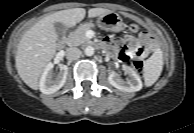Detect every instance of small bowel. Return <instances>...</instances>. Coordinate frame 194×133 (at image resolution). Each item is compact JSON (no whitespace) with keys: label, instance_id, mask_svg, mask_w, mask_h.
<instances>
[{"label":"small bowel","instance_id":"1","mask_svg":"<svg viewBox=\"0 0 194 133\" xmlns=\"http://www.w3.org/2000/svg\"><path fill=\"white\" fill-rule=\"evenodd\" d=\"M157 42L158 37L156 35L143 32L137 37L118 39L116 41L105 39L100 45L103 48L109 49L121 61H126L136 53H140L142 57L147 55L153 50L154 44Z\"/></svg>","mask_w":194,"mask_h":133}]
</instances>
